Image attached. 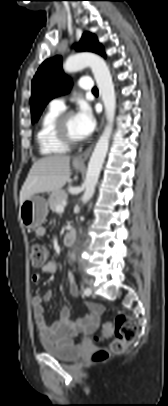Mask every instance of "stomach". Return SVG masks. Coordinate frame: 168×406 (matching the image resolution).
Returning a JSON list of instances; mask_svg holds the SVG:
<instances>
[{
	"label": "stomach",
	"mask_w": 168,
	"mask_h": 406,
	"mask_svg": "<svg viewBox=\"0 0 168 406\" xmlns=\"http://www.w3.org/2000/svg\"><path fill=\"white\" fill-rule=\"evenodd\" d=\"M75 169L80 170L81 165L73 163ZM48 214V203L40 196H32L24 201L19 209L21 223L28 229H35L42 225Z\"/></svg>",
	"instance_id": "0dacf381"
}]
</instances>
